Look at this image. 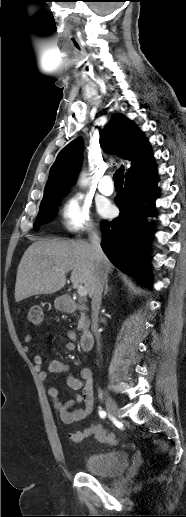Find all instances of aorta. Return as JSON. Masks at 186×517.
Masks as SVG:
<instances>
[{
  "mask_svg": "<svg viewBox=\"0 0 186 517\" xmlns=\"http://www.w3.org/2000/svg\"><path fill=\"white\" fill-rule=\"evenodd\" d=\"M82 182H83V183H85V182H86V180L84 179Z\"/></svg>",
  "mask_w": 186,
  "mask_h": 517,
  "instance_id": "aorta-1",
  "label": "aorta"
}]
</instances>
